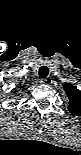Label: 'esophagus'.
Wrapping results in <instances>:
<instances>
[{"label": "esophagus", "instance_id": "34e87169", "mask_svg": "<svg viewBox=\"0 0 81 155\" xmlns=\"http://www.w3.org/2000/svg\"><path fill=\"white\" fill-rule=\"evenodd\" d=\"M40 83L45 84V85H50V84H52V79L51 78H43L40 80Z\"/></svg>", "mask_w": 81, "mask_h": 155}]
</instances>
